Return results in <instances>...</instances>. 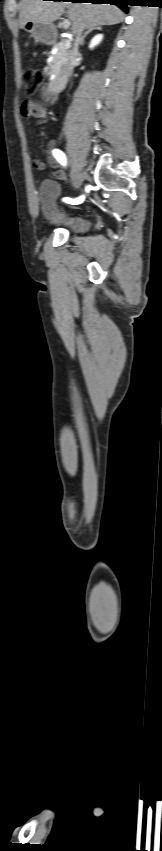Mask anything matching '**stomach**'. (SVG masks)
<instances>
[{
  "mask_svg": "<svg viewBox=\"0 0 162 851\" xmlns=\"http://www.w3.org/2000/svg\"><path fill=\"white\" fill-rule=\"evenodd\" d=\"M23 30L30 33L36 40L46 44H52L56 39L55 28L52 24L28 21L23 26Z\"/></svg>",
  "mask_w": 162,
  "mask_h": 851,
  "instance_id": "obj_1",
  "label": "stomach"
}]
</instances>
